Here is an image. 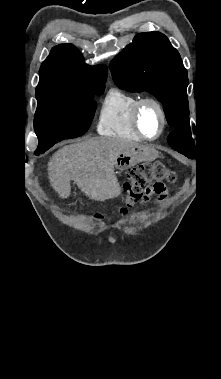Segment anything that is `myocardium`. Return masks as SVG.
I'll return each mask as SVG.
<instances>
[{
	"instance_id": "1",
	"label": "myocardium",
	"mask_w": 221,
	"mask_h": 379,
	"mask_svg": "<svg viewBox=\"0 0 221 379\" xmlns=\"http://www.w3.org/2000/svg\"><path fill=\"white\" fill-rule=\"evenodd\" d=\"M148 105L154 106L157 109L159 116H160V128H159L158 133L155 134L154 136H149V135L145 134L141 128V125H140L141 112H142L143 108L148 106ZM166 123H167V119H166V113H165L164 107L161 104V102L155 98H152V97L142 98L141 100H139L137 102V104L133 108L132 125H133L136 133L142 139H145V140H156V139H158L163 134V132L166 128Z\"/></svg>"
}]
</instances>
